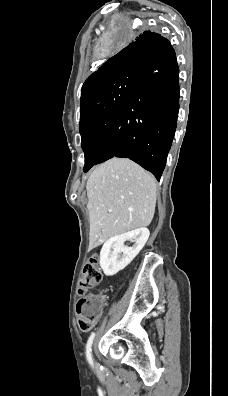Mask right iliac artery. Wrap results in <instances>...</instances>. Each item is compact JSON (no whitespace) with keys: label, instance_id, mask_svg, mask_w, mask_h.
<instances>
[{"label":"right iliac artery","instance_id":"right-iliac-artery-1","mask_svg":"<svg viewBox=\"0 0 228 396\" xmlns=\"http://www.w3.org/2000/svg\"><path fill=\"white\" fill-rule=\"evenodd\" d=\"M95 337V333H92L88 339L87 345H86V357L91 366H93V359H92V354H91V347L93 343V339Z\"/></svg>","mask_w":228,"mask_h":396}]
</instances>
